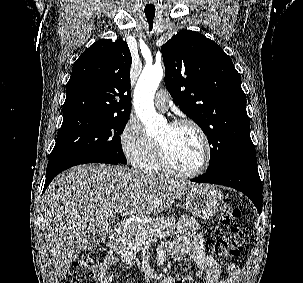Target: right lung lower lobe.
<instances>
[{
	"label": "right lung lower lobe",
	"instance_id": "right-lung-lower-lobe-1",
	"mask_svg": "<svg viewBox=\"0 0 303 283\" xmlns=\"http://www.w3.org/2000/svg\"><path fill=\"white\" fill-rule=\"evenodd\" d=\"M84 163H109V164H120V162L113 159L102 158V157H76V158H65L48 163L46 170V180L43 192L48 187L53 178L60 172Z\"/></svg>",
	"mask_w": 303,
	"mask_h": 283
}]
</instances>
